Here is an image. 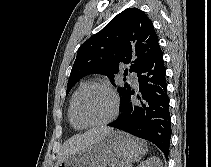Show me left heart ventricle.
<instances>
[{
	"instance_id": "b2bd125f",
	"label": "left heart ventricle",
	"mask_w": 211,
	"mask_h": 167,
	"mask_svg": "<svg viewBox=\"0 0 211 167\" xmlns=\"http://www.w3.org/2000/svg\"><path fill=\"white\" fill-rule=\"evenodd\" d=\"M113 111L110 94L101 88H90L78 99L76 113L84 122H99L107 119Z\"/></svg>"
}]
</instances>
